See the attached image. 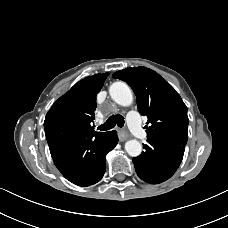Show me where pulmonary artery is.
I'll use <instances>...</instances> for the list:
<instances>
[{
	"instance_id": "e3ab8cb5",
	"label": "pulmonary artery",
	"mask_w": 228,
	"mask_h": 228,
	"mask_svg": "<svg viewBox=\"0 0 228 228\" xmlns=\"http://www.w3.org/2000/svg\"><path fill=\"white\" fill-rule=\"evenodd\" d=\"M128 123L131 131L136 137L140 139H145L147 137V133L142 128L139 115L136 111H131L128 113Z\"/></svg>"
}]
</instances>
